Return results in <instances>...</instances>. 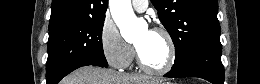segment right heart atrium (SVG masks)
<instances>
[{"label":"right heart atrium","instance_id":"1","mask_svg":"<svg viewBox=\"0 0 260 84\" xmlns=\"http://www.w3.org/2000/svg\"><path fill=\"white\" fill-rule=\"evenodd\" d=\"M99 41L102 55L110 66L124 69L130 65L135 55L134 47L125 41L110 16L101 24Z\"/></svg>","mask_w":260,"mask_h":84}]
</instances>
